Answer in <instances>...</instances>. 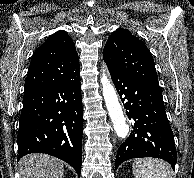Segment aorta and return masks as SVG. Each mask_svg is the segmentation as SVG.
<instances>
[{
    "label": "aorta",
    "instance_id": "aorta-1",
    "mask_svg": "<svg viewBox=\"0 0 194 178\" xmlns=\"http://www.w3.org/2000/svg\"><path fill=\"white\" fill-rule=\"evenodd\" d=\"M103 97L106 103V107L113 122L115 133L120 138H125L129 132V126L126 123L122 107L118 101V97L114 86L106 75V68H103V74L101 77Z\"/></svg>",
    "mask_w": 194,
    "mask_h": 178
}]
</instances>
